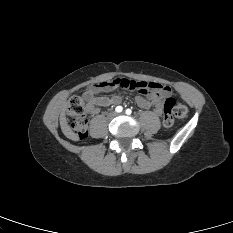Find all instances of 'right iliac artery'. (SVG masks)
<instances>
[{
  "label": "right iliac artery",
  "instance_id": "right-iliac-artery-1",
  "mask_svg": "<svg viewBox=\"0 0 233 233\" xmlns=\"http://www.w3.org/2000/svg\"><path fill=\"white\" fill-rule=\"evenodd\" d=\"M122 110H123L122 106H117V107L115 108V111H116L117 113L122 112Z\"/></svg>",
  "mask_w": 233,
  "mask_h": 233
}]
</instances>
